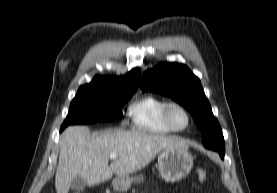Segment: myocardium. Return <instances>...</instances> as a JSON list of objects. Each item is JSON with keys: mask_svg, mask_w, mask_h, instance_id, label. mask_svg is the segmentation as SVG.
Listing matches in <instances>:
<instances>
[{"mask_svg": "<svg viewBox=\"0 0 277 193\" xmlns=\"http://www.w3.org/2000/svg\"><path fill=\"white\" fill-rule=\"evenodd\" d=\"M173 108H178L185 114V116L187 118V124L184 127L178 128L173 124V122L171 120V116H170V112ZM163 120H164L165 125L172 132H184L190 127L191 122H192V117H191L190 112L188 111V109L184 105H182L179 102L172 101V102H168L164 107Z\"/></svg>", "mask_w": 277, "mask_h": 193, "instance_id": "obj_1", "label": "myocardium"}]
</instances>
